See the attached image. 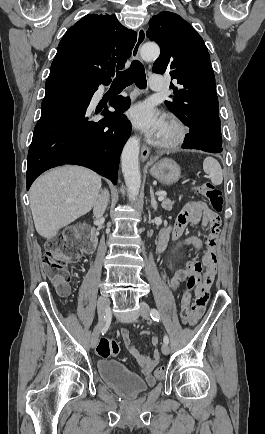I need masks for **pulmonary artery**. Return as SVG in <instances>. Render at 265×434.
I'll list each match as a JSON object with an SVG mask.
<instances>
[{
  "instance_id": "obj_1",
  "label": "pulmonary artery",
  "mask_w": 265,
  "mask_h": 434,
  "mask_svg": "<svg viewBox=\"0 0 265 434\" xmlns=\"http://www.w3.org/2000/svg\"><path fill=\"white\" fill-rule=\"evenodd\" d=\"M148 81L149 84H162L164 78L162 75H149Z\"/></svg>"
}]
</instances>
